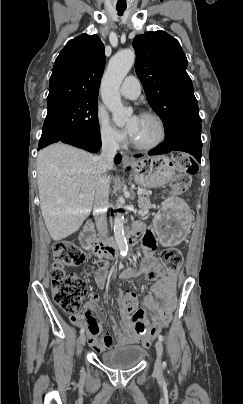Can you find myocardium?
Returning a JSON list of instances; mask_svg holds the SVG:
<instances>
[{
	"label": "myocardium",
	"mask_w": 243,
	"mask_h": 404,
	"mask_svg": "<svg viewBox=\"0 0 243 404\" xmlns=\"http://www.w3.org/2000/svg\"><path fill=\"white\" fill-rule=\"evenodd\" d=\"M128 34H135V32H129ZM140 116L155 119L160 128V135H159V138L155 142L150 143V144H141V143L134 141L133 138H131L132 146L135 149L143 150V151H150V150H154V149L160 147L166 141L167 135H168L167 125H166L165 120L163 119V117L160 114H158L157 112H154V111H144L141 113Z\"/></svg>",
	"instance_id": "myocardium-1"
}]
</instances>
